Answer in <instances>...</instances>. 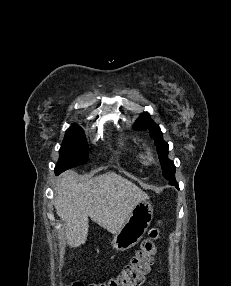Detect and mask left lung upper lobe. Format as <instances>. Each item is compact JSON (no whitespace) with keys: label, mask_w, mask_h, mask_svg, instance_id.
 I'll list each match as a JSON object with an SVG mask.
<instances>
[{"label":"left lung upper lobe","mask_w":231,"mask_h":286,"mask_svg":"<svg viewBox=\"0 0 231 286\" xmlns=\"http://www.w3.org/2000/svg\"><path fill=\"white\" fill-rule=\"evenodd\" d=\"M136 130H148L150 137L154 140L155 146L159 155L164 177L171 182L175 179V166L168 159V144L162 138V132L149 117L148 114H143L133 126Z\"/></svg>","instance_id":"obj_1"}]
</instances>
